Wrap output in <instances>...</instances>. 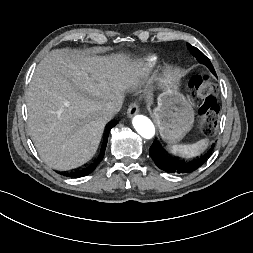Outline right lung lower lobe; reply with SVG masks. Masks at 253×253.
Segmentation results:
<instances>
[{"label":"right lung lower lobe","instance_id":"obj_1","mask_svg":"<svg viewBox=\"0 0 253 253\" xmlns=\"http://www.w3.org/2000/svg\"><path fill=\"white\" fill-rule=\"evenodd\" d=\"M115 125H116L115 123H111V124H109L107 126V129L105 131V136H104V142H103L102 150L100 152V155H99L98 159L92 165H90L89 167L84 168V169L79 170V171H75V172H72V173L65 174V176L73 177V178H79V177L86 176V175L90 174L92 171H94V169L96 168V166L102 161V159L104 157V153H105V149H106V145H107V141H108L109 131Z\"/></svg>","mask_w":253,"mask_h":253}]
</instances>
